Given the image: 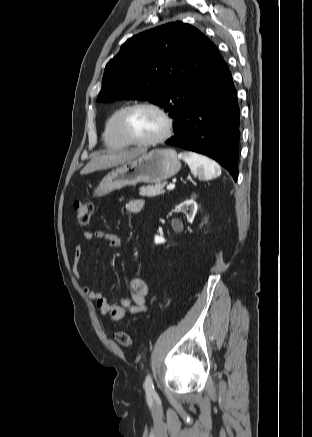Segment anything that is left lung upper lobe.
Listing matches in <instances>:
<instances>
[{"label":"left lung upper lobe","instance_id":"1","mask_svg":"<svg viewBox=\"0 0 312 437\" xmlns=\"http://www.w3.org/2000/svg\"><path fill=\"white\" fill-rule=\"evenodd\" d=\"M222 63L215 45L199 30L168 23L123 44L106 65L97 101L148 100L169 112L176 127Z\"/></svg>","mask_w":312,"mask_h":437}]
</instances>
